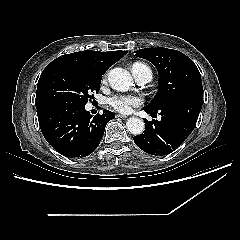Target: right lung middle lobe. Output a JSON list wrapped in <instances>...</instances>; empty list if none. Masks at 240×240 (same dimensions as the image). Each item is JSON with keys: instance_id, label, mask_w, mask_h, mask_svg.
<instances>
[{"instance_id": "right-lung-middle-lobe-1", "label": "right lung middle lobe", "mask_w": 240, "mask_h": 240, "mask_svg": "<svg viewBox=\"0 0 240 240\" xmlns=\"http://www.w3.org/2000/svg\"><path fill=\"white\" fill-rule=\"evenodd\" d=\"M102 76L94 75L72 63H58L44 70L39 78L36 109L58 103L85 106L98 92Z\"/></svg>"}]
</instances>
